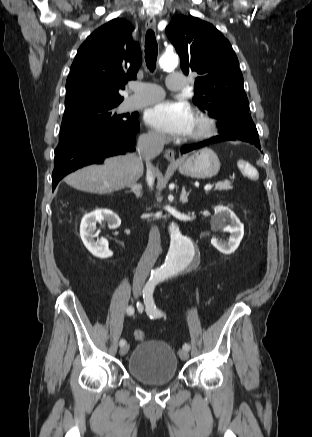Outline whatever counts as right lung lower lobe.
Here are the masks:
<instances>
[{
    "mask_svg": "<svg viewBox=\"0 0 312 437\" xmlns=\"http://www.w3.org/2000/svg\"><path fill=\"white\" fill-rule=\"evenodd\" d=\"M138 131L139 122L135 117L126 125L103 129L66 143H59L55 149L52 190L64 176L78 168L102 163L108 156L135 150V135Z\"/></svg>",
    "mask_w": 312,
    "mask_h": 437,
    "instance_id": "right-lung-lower-lobe-1",
    "label": "right lung lower lobe"
}]
</instances>
